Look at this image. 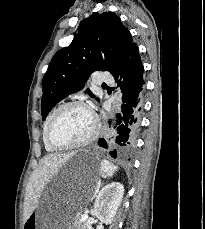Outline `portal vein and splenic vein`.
I'll use <instances>...</instances> for the list:
<instances>
[{
  "label": "portal vein and splenic vein",
  "mask_w": 205,
  "mask_h": 229,
  "mask_svg": "<svg viewBox=\"0 0 205 229\" xmlns=\"http://www.w3.org/2000/svg\"><path fill=\"white\" fill-rule=\"evenodd\" d=\"M87 217V215H83L82 217H81V219H84V218H86Z\"/></svg>",
  "instance_id": "18ae733b"
}]
</instances>
